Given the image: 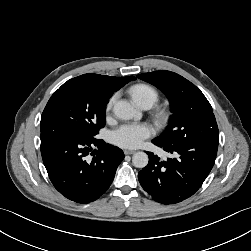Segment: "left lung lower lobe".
I'll return each mask as SVG.
<instances>
[{
	"instance_id": "0a47b994",
	"label": "left lung lower lobe",
	"mask_w": 251,
	"mask_h": 251,
	"mask_svg": "<svg viewBox=\"0 0 251 251\" xmlns=\"http://www.w3.org/2000/svg\"><path fill=\"white\" fill-rule=\"evenodd\" d=\"M152 142L177 158L161 161L149 153L148 165L138 173L143 189L162 204L179 203L192 196L214 165L219 139L194 138L174 145Z\"/></svg>"
}]
</instances>
